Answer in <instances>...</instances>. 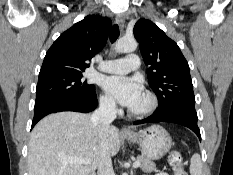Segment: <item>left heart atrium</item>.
Listing matches in <instances>:
<instances>
[{
    "label": "left heart atrium",
    "mask_w": 233,
    "mask_h": 175,
    "mask_svg": "<svg viewBox=\"0 0 233 175\" xmlns=\"http://www.w3.org/2000/svg\"><path fill=\"white\" fill-rule=\"evenodd\" d=\"M104 87L121 105L131 109L136 107L143 98V85L136 78L111 76L106 78Z\"/></svg>",
    "instance_id": "1"
}]
</instances>
